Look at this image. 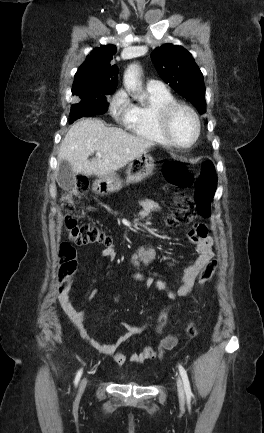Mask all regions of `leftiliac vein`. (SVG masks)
Wrapping results in <instances>:
<instances>
[{
    "instance_id": "4c4485c4",
    "label": "left iliac vein",
    "mask_w": 264,
    "mask_h": 433,
    "mask_svg": "<svg viewBox=\"0 0 264 433\" xmlns=\"http://www.w3.org/2000/svg\"><path fill=\"white\" fill-rule=\"evenodd\" d=\"M176 384H177L178 396H179L181 401H184V397H185L184 386H183V383L179 377L176 378Z\"/></svg>"
}]
</instances>
